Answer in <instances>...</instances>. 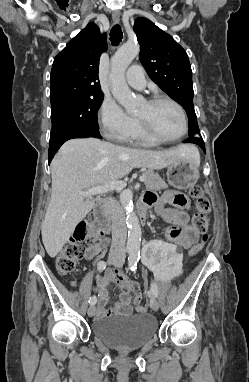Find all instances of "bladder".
<instances>
[{"instance_id": "1", "label": "bladder", "mask_w": 249, "mask_h": 382, "mask_svg": "<svg viewBox=\"0 0 249 382\" xmlns=\"http://www.w3.org/2000/svg\"><path fill=\"white\" fill-rule=\"evenodd\" d=\"M93 334L107 346L128 351L143 347L157 334V320L149 314L112 315L94 321Z\"/></svg>"}]
</instances>
